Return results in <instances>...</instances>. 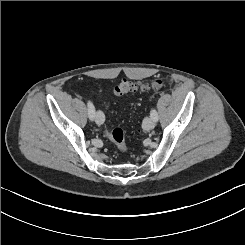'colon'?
I'll list each match as a JSON object with an SVG mask.
<instances>
[{"mask_svg":"<svg viewBox=\"0 0 245 245\" xmlns=\"http://www.w3.org/2000/svg\"><path fill=\"white\" fill-rule=\"evenodd\" d=\"M162 86L161 80L153 81L150 84H142L129 79H122L114 88V94L117 96H124L135 93L137 91H143L148 89H157ZM105 136L115 144L122 152L126 151V144L124 139V133L121 129L116 128L113 130L104 129Z\"/></svg>","mask_w":245,"mask_h":245,"instance_id":"1","label":"colon"}]
</instances>
